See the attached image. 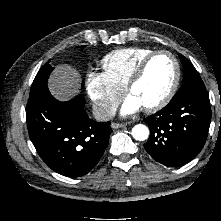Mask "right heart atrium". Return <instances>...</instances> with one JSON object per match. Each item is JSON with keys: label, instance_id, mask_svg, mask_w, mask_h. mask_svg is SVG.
Here are the masks:
<instances>
[{"label": "right heart atrium", "instance_id": "d8ad5b80", "mask_svg": "<svg viewBox=\"0 0 221 221\" xmlns=\"http://www.w3.org/2000/svg\"><path fill=\"white\" fill-rule=\"evenodd\" d=\"M86 91L96 114L104 119L115 110L124 89L117 86L104 72H88Z\"/></svg>", "mask_w": 221, "mask_h": 221}]
</instances>
